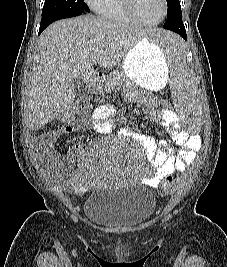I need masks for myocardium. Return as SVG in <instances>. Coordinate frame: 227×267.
<instances>
[{"instance_id":"myocardium-1","label":"myocardium","mask_w":227,"mask_h":267,"mask_svg":"<svg viewBox=\"0 0 227 267\" xmlns=\"http://www.w3.org/2000/svg\"><path fill=\"white\" fill-rule=\"evenodd\" d=\"M124 7L128 14L136 20L138 23L148 26H155L159 25L164 21V19L167 17L168 13V2L167 0H162L163 4V14L162 17L158 21L149 22L142 19V17L139 15L137 8H136V0H123Z\"/></svg>"}]
</instances>
